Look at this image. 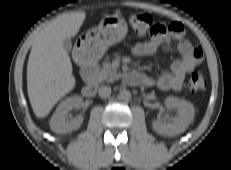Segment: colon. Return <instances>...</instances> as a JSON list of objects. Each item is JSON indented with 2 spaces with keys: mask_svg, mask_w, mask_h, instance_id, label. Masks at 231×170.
Listing matches in <instances>:
<instances>
[{
  "mask_svg": "<svg viewBox=\"0 0 231 170\" xmlns=\"http://www.w3.org/2000/svg\"><path fill=\"white\" fill-rule=\"evenodd\" d=\"M132 29L138 34H150L151 36H162L167 28L153 21L152 17L145 13H134L129 19ZM207 82L201 70H194L188 81L187 88L190 92L202 91L206 88Z\"/></svg>",
  "mask_w": 231,
  "mask_h": 170,
  "instance_id": "1",
  "label": "colon"
}]
</instances>
